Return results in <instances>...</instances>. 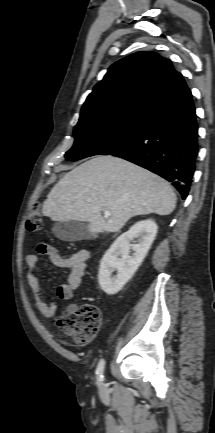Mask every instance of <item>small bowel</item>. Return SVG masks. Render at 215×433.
Returning <instances> with one entry per match:
<instances>
[{
  "mask_svg": "<svg viewBox=\"0 0 215 433\" xmlns=\"http://www.w3.org/2000/svg\"><path fill=\"white\" fill-rule=\"evenodd\" d=\"M37 253L47 256L53 266L70 270L67 281L56 288V295L62 300H72L76 291L80 288L83 276L86 273L91 256L90 251L80 249L69 256H63L55 247L47 243H40L37 246ZM38 261L37 254L31 253L26 255L25 262L28 267L27 282L37 309L44 316L52 317L57 312L58 307L55 303L47 301L43 296L39 280L35 274ZM75 309L76 307L73 304L68 307L69 312Z\"/></svg>",
  "mask_w": 215,
  "mask_h": 433,
  "instance_id": "c3829d8e",
  "label": "small bowel"
}]
</instances>
